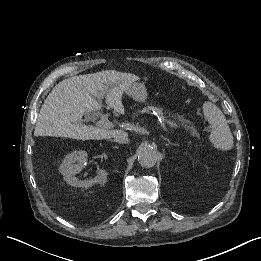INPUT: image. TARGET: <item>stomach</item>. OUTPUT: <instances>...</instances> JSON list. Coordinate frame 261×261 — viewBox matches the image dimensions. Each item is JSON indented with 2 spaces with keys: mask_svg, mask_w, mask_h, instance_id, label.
Listing matches in <instances>:
<instances>
[{
  "mask_svg": "<svg viewBox=\"0 0 261 261\" xmlns=\"http://www.w3.org/2000/svg\"><path fill=\"white\" fill-rule=\"evenodd\" d=\"M125 93L140 103H145L148 96L145 85L138 82L132 83Z\"/></svg>",
  "mask_w": 261,
  "mask_h": 261,
  "instance_id": "stomach-1",
  "label": "stomach"
}]
</instances>
